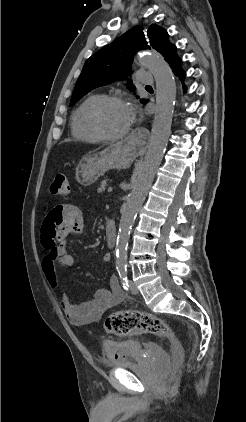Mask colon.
<instances>
[{"instance_id": "1", "label": "colon", "mask_w": 246, "mask_h": 422, "mask_svg": "<svg viewBox=\"0 0 246 422\" xmlns=\"http://www.w3.org/2000/svg\"><path fill=\"white\" fill-rule=\"evenodd\" d=\"M69 189L67 177L58 174L51 183L50 193L53 196L66 197ZM104 328L108 333L115 335L144 333L161 337L170 342L174 361L179 362L182 358V349L173 330L163 319L155 315L134 310L114 312L106 318Z\"/></svg>"}]
</instances>
